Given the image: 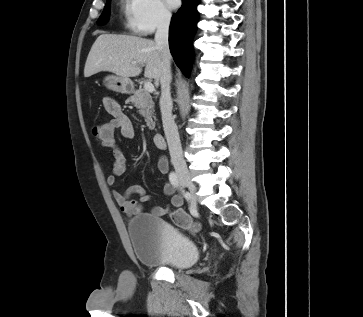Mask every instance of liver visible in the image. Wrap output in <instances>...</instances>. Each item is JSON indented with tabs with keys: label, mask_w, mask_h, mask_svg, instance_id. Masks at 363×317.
I'll list each match as a JSON object with an SVG mask.
<instances>
[{
	"label": "liver",
	"mask_w": 363,
	"mask_h": 317,
	"mask_svg": "<svg viewBox=\"0 0 363 317\" xmlns=\"http://www.w3.org/2000/svg\"><path fill=\"white\" fill-rule=\"evenodd\" d=\"M135 63V64H133ZM154 79L156 86L162 74V55L153 40L130 35H100L88 54L84 77L101 71L129 79L141 74Z\"/></svg>",
	"instance_id": "1"
}]
</instances>
